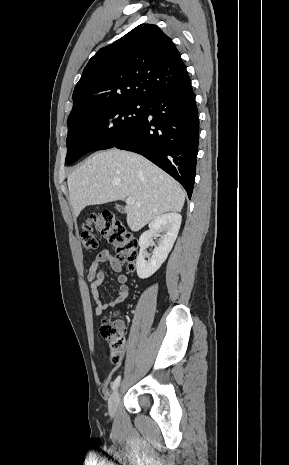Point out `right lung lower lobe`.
Listing matches in <instances>:
<instances>
[{
  "instance_id": "obj_1",
  "label": "right lung lower lobe",
  "mask_w": 289,
  "mask_h": 465,
  "mask_svg": "<svg viewBox=\"0 0 289 465\" xmlns=\"http://www.w3.org/2000/svg\"><path fill=\"white\" fill-rule=\"evenodd\" d=\"M199 119L191 83L147 100L143 120L113 147L143 155L175 178L191 198Z\"/></svg>"
}]
</instances>
